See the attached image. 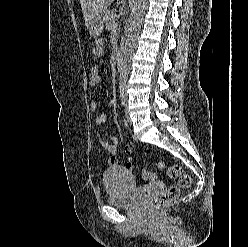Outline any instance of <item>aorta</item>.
I'll list each match as a JSON object with an SVG mask.
<instances>
[{"label": "aorta", "mask_w": 248, "mask_h": 247, "mask_svg": "<svg viewBox=\"0 0 248 247\" xmlns=\"http://www.w3.org/2000/svg\"><path fill=\"white\" fill-rule=\"evenodd\" d=\"M132 2L131 19L125 39L124 52L119 67L120 86H125L128 80L130 62L136 47V41L148 0H132Z\"/></svg>", "instance_id": "762f6f07"}]
</instances>
